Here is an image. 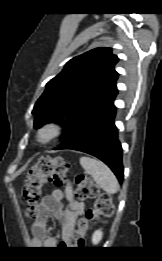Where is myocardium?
Returning a JSON list of instances; mask_svg holds the SVG:
<instances>
[{
  "instance_id": "1",
  "label": "myocardium",
  "mask_w": 162,
  "mask_h": 261,
  "mask_svg": "<svg viewBox=\"0 0 162 261\" xmlns=\"http://www.w3.org/2000/svg\"><path fill=\"white\" fill-rule=\"evenodd\" d=\"M62 127L57 122H49L38 129L36 141L39 144H47L61 133Z\"/></svg>"
}]
</instances>
